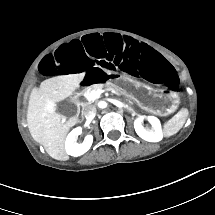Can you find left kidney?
Returning <instances> with one entry per match:
<instances>
[{"mask_svg":"<svg viewBox=\"0 0 215 215\" xmlns=\"http://www.w3.org/2000/svg\"><path fill=\"white\" fill-rule=\"evenodd\" d=\"M149 123L152 125L154 131L147 130L142 126L143 117H139L134 121V128L139 137L148 142H159L163 138L161 124L155 116L147 117Z\"/></svg>","mask_w":215,"mask_h":215,"instance_id":"1","label":"left kidney"}]
</instances>
